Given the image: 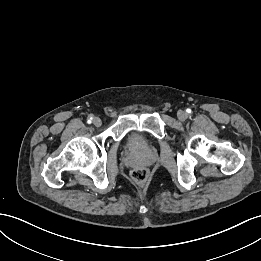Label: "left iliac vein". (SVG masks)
Wrapping results in <instances>:
<instances>
[{"instance_id": "obj_1", "label": "left iliac vein", "mask_w": 261, "mask_h": 261, "mask_svg": "<svg viewBox=\"0 0 261 261\" xmlns=\"http://www.w3.org/2000/svg\"><path fill=\"white\" fill-rule=\"evenodd\" d=\"M177 117L180 121H185L188 117L187 113L183 110H179L177 113Z\"/></svg>"}]
</instances>
